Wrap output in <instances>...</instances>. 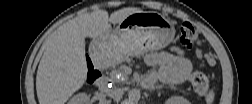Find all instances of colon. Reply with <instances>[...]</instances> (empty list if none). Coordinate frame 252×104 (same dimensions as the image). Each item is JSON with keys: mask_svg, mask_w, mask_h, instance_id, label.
<instances>
[{"mask_svg": "<svg viewBox=\"0 0 252 104\" xmlns=\"http://www.w3.org/2000/svg\"><path fill=\"white\" fill-rule=\"evenodd\" d=\"M179 38L183 46L188 49H193L200 45L199 34L197 30L189 23H182L179 27ZM199 58L205 60L209 64L214 63V59L208 55L198 54ZM101 74L97 68L91 63L88 64L87 82L94 83L100 78ZM190 83L194 91L199 96H204L209 91V80L206 75L201 72H194L190 76Z\"/></svg>", "mask_w": 252, "mask_h": 104, "instance_id": "5ec220e1", "label": "colon"}]
</instances>
